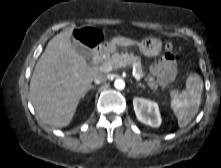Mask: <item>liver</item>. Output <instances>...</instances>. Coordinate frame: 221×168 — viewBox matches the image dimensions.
<instances>
[{
    "label": "liver",
    "mask_w": 221,
    "mask_h": 168,
    "mask_svg": "<svg viewBox=\"0 0 221 168\" xmlns=\"http://www.w3.org/2000/svg\"><path fill=\"white\" fill-rule=\"evenodd\" d=\"M73 29L53 37L38 59L30 81L31 103L40 119L52 126H68L76 108L99 74L88 67L70 42ZM114 47H129L138 42L117 36Z\"/></svg>",
    "instance_id": "1"
}]
</instances>
